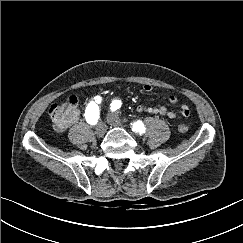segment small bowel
I'll return each mask as SVG.
<instances>
[{"label":"small bowel","mask_w":243,"mask_h":243,"mask_svg":"<svg viewBox=\"0 0 243 243\" xmlns=\"http://www.w3.org/2000/svg\"><path fill=\"white\" fill-rule=\"evenodd\" d=\"M143 90L145 92H150L152 90V86L150 84H145L143 86ZM168 101L171 104H176L177 101H178V98L175 95H170L168 97ZM136 111L138 113H148V114H151V115L166 116L170 120H175V119L178 118V114L175 111L168 109L164 105H157V106H154V107H146V106H143V105H139L136 108ZM178 112L181 116H184V117H188L190 115L189 107L185 104H183L179 107Z\"/></svg>","instance_id":"small-bowel-1"}]
</instances>
